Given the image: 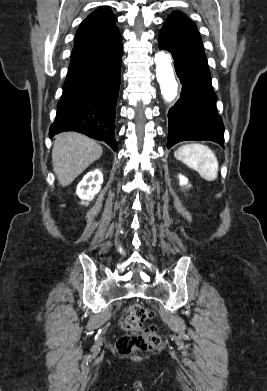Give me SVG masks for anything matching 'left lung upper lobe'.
I'll return each instance as SVG.
<instances>
[{
	"label": "left lung upper lobe",
	"instance_id": "obj_1",
	"mask_svg": "<svg viewBox=\"0 0 267 391\" xmlns=\"http://www.w3.org/2000/svg\"><path fill=\"white\" fill-rule=\"evenodd\" d=\"M165 27L173 28L201 41L195 24L183 13L174 11L166 19Z\"/></svg>",
	"mask_w": 267,
	"mask_h": 391
}]
</instances>
